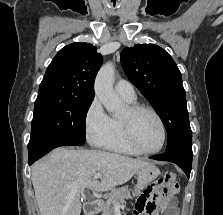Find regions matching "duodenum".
Wrapping results in <instances>:
<instances>
[{
	"mask_svg": "<svg viewBox=\"0 0 223 215\" xmlns=\"http://www.w3.org/2000/svg\"><path fill=\"white\" fill-rule=\"evenodd\" d=\"M100 206L96 200H87L84 203V214L85 215H98Z\"/></svg>",
	"mask_w": 223,
	"mask_h": 215,
	"instance_id": "1",
	"label": "duodenum"
}]
</instances>
